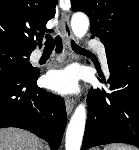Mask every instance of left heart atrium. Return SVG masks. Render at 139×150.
I'll use <instances>...</instances> for the list:
<instances>
[{"label": "left heart atrium", "instance_id": "39dd6f15", "mask_svg": "<svg viewBox=\"0 0 139 150\" xmlns=\"http://www.w3.org/2000/svg\"><path fill=\"white\" fill-rule=\"evenodd\" d=\"M45 84L60 94L73 93L78 87V75L73 69L52 71L45 77Z\"/></svg>", "mask_w": 139, "mask_h": 150}]
</instances>
